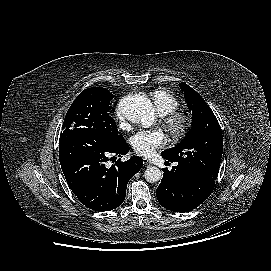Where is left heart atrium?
Instances as JSON below:
<instances>
[{
    "label": "left heart atrium",
    "instance_id": "1",
    "mask_svg": "<svg viewBox=\"0 0 271 271\" xmlns=\"http://www.w3.org/2000/svg\"><path fill=\"white\" fill-rule=\"evenodd\" d=\"M164 142V134L159 128L140 131L132 138V146L135 152L145 157L154 155Z\"/></svg>",
    "mask_w": 271,
    "mask_h": 271
}]
</instances>
